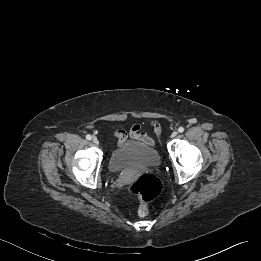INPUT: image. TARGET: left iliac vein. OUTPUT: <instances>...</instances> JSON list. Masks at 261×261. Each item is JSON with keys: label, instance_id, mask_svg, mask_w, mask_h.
Instances as JSON below:
<instances>
[{"label": "left iliac vein", "instance_id": "left-iliac-vein-1", "mask_svg": "<svg viewBox=\"0 0 261 261\" xmlns=\"http://www.w3.org/2000/svg\"><path fill=\"white\" fill-rule=\"evenodd\" d=\"M177 134H178L177 131H173V132L171 133V137L174 138V137L177 136Z\"/></svg>", "mask_w": 261, "mask_h": 261}]
</instances>
